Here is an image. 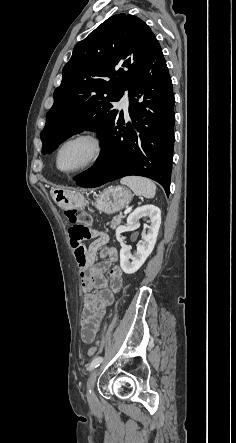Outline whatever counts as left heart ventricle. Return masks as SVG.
Listing matches in <instances>:
<instances>
[{"instance_id": "1", "label": "left heart ventricle", "mask_w": 236, "mask_h": 443, "mask_svg": "<svg viewBox=\"0 0 236 443\" xmlns=\"http://www.w3.org/2000/svg\"><path fill=\"white\" fill-rule=\"evenodd\" d=\"M93 148L86 140H77L69 143L60 155L62 169L70 170L85 164L92 156Z\"/></svg>"}]
</instances>
